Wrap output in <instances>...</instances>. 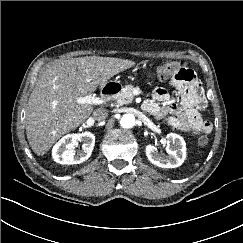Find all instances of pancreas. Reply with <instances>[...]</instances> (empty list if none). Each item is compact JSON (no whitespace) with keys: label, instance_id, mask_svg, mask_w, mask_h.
<instances>
[{"label":"pancreas","instance_id":"pancreas-1","mask_svg":"<svg viewBox=\"0 0 243 243\" xmlns=\"http://www.w3.org/2000/svg\"><path fill=\"white\" fill-rule=\"evenodd\" d=\"M134 87L132 85H126L122 91L115 97L118 105L129 104L134 98Z\"/></svg>","mask_w":243,"mask_h":243}]
</instances>
